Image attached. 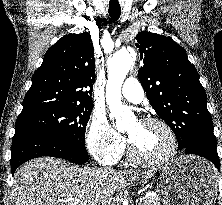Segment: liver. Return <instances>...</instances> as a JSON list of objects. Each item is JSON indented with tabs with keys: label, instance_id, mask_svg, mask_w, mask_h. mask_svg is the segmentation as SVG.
I'll use <instances>...</instances> for the list:
<instances>
[{
	"label": "liver",
	"instance_id": "liver-1",
	"mask_svg": "<svg viewBox=\"0 0 222 205\" xmlns=\"http://www.w3.org/2000/svg\"><path fill=\"white\" fill-rule=\"evenodd\" d=\"M152 176L151 172L78 168L60 158L40 157L14 174L12 205H107L116 190L135 178L147 181Z\"/></svg>",
	"mask_w": 222,
	"mask_h": 205
}]
</instances>
